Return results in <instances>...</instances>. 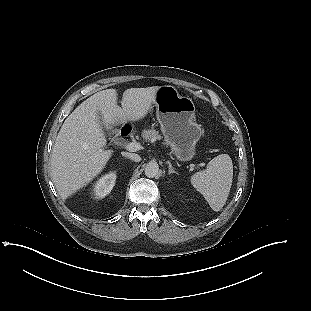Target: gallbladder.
I'll use <instances>...</instances> for the list:
<instances>
[{"instance_id": "gallbladder-1", "label": "gallbladder", "mask_w": 311, "mask_h": 311, "mask_svg": "<svg viewBox=\"0 0 311 311\" xmlns=\"http://www.w3.org/2000/svg\"><path fill=\"white\" fill-rule=\"evenodd\" d=\"M100 125L102 126V128H103V131L105 132V133H107V134H111V130L110 129H108V128H106V126L104 125V123H103V121H102V119H100Z\"/></svg>"}]
</instances>
